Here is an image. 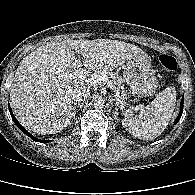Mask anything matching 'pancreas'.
Listing matches in <instances>:
<instances>
[{
  "label": "pancreas",
  "instance_id": "obj_1",
  "mask_svg": "<svg viewBox=\"0 0 195 195\" xmlns=\"http://www.w3.org/2000/svg\"><path fill=\"white\" fill-rule=\"evenodd\" d=\"M102 74L106 75L107 78L112 82V84L114 86H117L119 88L123 87L124 80L117 73H113V72H110V71H104V72L99 73L98 75H102ZM126 96H127V94H126L125 90L122 89L121 100L124 101L126 99Z\"/></svg>",
  "mask_w": 195,
  "mask_h": 195
}]
</instances>
